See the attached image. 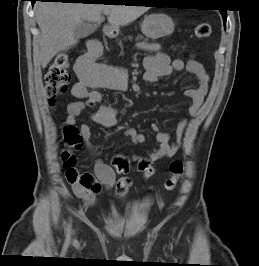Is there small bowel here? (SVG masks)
I'll use <instances>...</instances> for the list:
<instances>
[{
	"label": "small bowel",
	"instance_id": "obj_1",
	"mask_svg": "<svg viewBox=\"0 0 259 266\" xmlns=\"http://www.w3.org/2000/svg\"><path fill=\"white\" fill-rule=\"evenodd\" d=\"M92 45H90L86 53L78 58L74 66L77 81L72 87V95L78 100L71 102L67 106V125L74 126L76 119L85 109L94 107L102 101L103 95L99 91L100 88L123 90L127 86L125 70L119 67L97 64L96 59L100 52L98 54L92 52L90 49ZM150 48L155 53L146 56L143 60L145 68L144 80L154 83L162 77L171 75L173 71L186 70L193 74L198 81V85L187 89L185 95L191 99L189 115L191 117L196 116L203 104L210 83V78L203 65L196 60H172L166 53L160 50L158 45H152ZM116 116L117 110L114 107L102 105L92 114V120L102 126L112 127L117 122ZM150 127L156 133L158 147L147 154L148 160L157 161L174 156L181 147L186 120L181 119L178 122L174 141H171L169 133L160 131L157 124L152 123ZM80 134L87 149L97 155L98 152L95 151L90 142L91 132L88 125H80ZM125 134L134 144H140L145 141V136L138 133L134 128H128ZM66 179L71 185L74 194L87 205L95 203L97 194L103 188H114L117 195L124 196L131 186V180L127 177L116 180L114 169L100 159L94 164V173H81L76 169H72L66 171Z\"/></svg>",
	"mask_w": 259,
	"mask_h": 266
}]
</instances>
